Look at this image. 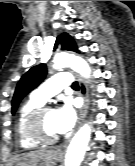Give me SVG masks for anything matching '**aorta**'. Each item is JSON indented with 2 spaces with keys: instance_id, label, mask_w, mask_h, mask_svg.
Instances as JSON below:
<instances>
[{
  "instance_id": "obj_1",
  "label": "aorta",
  "mask_w": 135,
  "mask_h": 166,
  "mask_svg": "<svg viewBox=\"0 0 135 166\" xmlns=\"http://www.w3.org/2000/svg\"><path fill=\"white\" fill-rule=\"evenodd\" d=\"M70 67L85 78L90 77L91 69L88 63L81 57L61 53L55 56L53 68L62 70ZM91 137L89 124L83 125L72 138L65 156V166H80Z\"/></svg>"
}]
</instances>
